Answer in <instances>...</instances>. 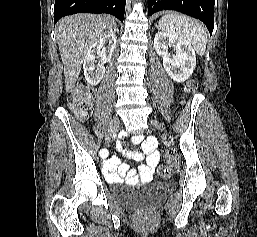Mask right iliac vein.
I'll list each match as a JSON object with an SVG mask.
<instances>
[{
	"instance_id": "63e3f726",
	"label": "right iliac vein",
	"mask_w": 257,
	"mask_h": 237,
	"mask_svg": "<svg viewBox=\"0 0 257 237\" xmlns=\"http://www.w3.org/2000/svg\"><path fill=\"white\" fill-rule=\"evenodd\" d=\"M117 126H118V120L115 119V120L112 122V124H111V126L109 127L108 132H107V134H106V141H107V142H109V141L111 140L112 135H113V134L116 132V130H117Z\"/></svg>"
}]
</instances>
